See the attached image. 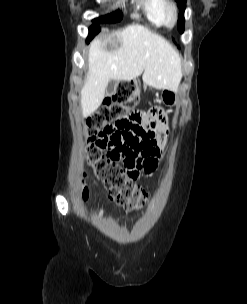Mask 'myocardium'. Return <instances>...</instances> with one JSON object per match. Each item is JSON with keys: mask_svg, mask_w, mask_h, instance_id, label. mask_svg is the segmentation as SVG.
Returning a JSON list of instances; mask_svg holds the SVG:
<instances>
[{"mask_svg": "<svg viewBox=\"0 0 247 304\" xmlns=\"http://www.w3.org/2000/svg\"><path fill=\"white\" fill-rule=\"evenodd\" d=\"M178 21V8L176 4L167 0L164 8V23L167 27L172 28L177 24Z\"/></svg>", "mask_w": 247, "mask_h": 304, "instance_id": "1", "label": "myocardium"}]
</instances>
